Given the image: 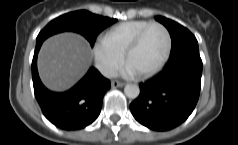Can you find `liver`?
Instances as JSON below:
<instances>
[{
    "label": "liver",
    "mask_w": 238,
    "mask_h": 145,
    "mask_svg": "<svg viewBox=\"0 0 238 145\" xmlns=\"http://www.w3.org/2000/svg\"><path fill=\"white\" fill-rule=\"evenodd\" d=\"M91 62L92 51L86 40L75 33H62L43 43L38 70L47 88L64 91L82 78Z\"/></svg>",
    "instance_id": "obj_1"
}]
</instances>
